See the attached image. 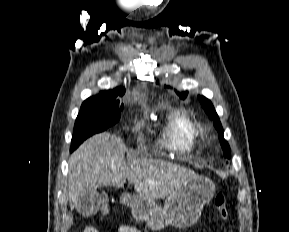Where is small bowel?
Here are the masks:
<instances>
[{"mask_svg": "<svg viewBox=\"0 0 289 232\" xmlns=\"http://www.w3.org/2000/svg\"><path fill=\"white\" fill-rule=\"evenodd\" d=\"M83 232H99V230L93 226H88ZM118 232H142L137 227L131 225H122L118 228Z\"/></svg>", "mask_w": 289, "mask_h": 232, "instance_id": "obj_1", "label": "small bowel"}]
</instances>
